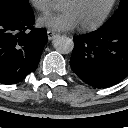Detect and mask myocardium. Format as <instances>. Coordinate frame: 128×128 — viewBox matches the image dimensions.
Instances as JSON below:
<instances>
[{
    "label": "myocardium",
    "mask_w": 128,
    "mask_h": 128,
    "mask_svg": "<svg viewBox=\"0 0 128 128\" xmlns=\"http://www.w3.org/2000/svg\"><path fill=\"white\" fill-rule=\"evenodd\" d=\"M116 3H117V0H111L106 10L102 13V15L96 21L87 25H80L79 26L80 29L82 31H91L99 28L108 19L114 7L116 6Z\"/></svg>",
    "instance_id": "1"
}]
</instances>
